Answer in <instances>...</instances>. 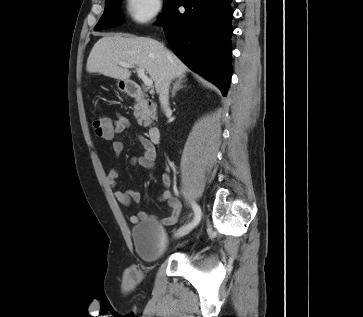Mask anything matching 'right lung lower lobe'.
<instances>
[{
    "label": "right lung lower lobe",
    "mask_w": 363,
    "mask_h": 317,
    "mask_svg": "<svg viewBox=\"0 0 363 317\" xmlns=\"http://www.w3.org/2000/svg\"><path fill=\"white\" fill-rule=\"evenodd\" d=\"M231 0H172L157 23L175 54L225 96L231 78ZM185 7L180 13L178 7Z\"/></svg>",
    "instance_id": "right-lung-lower-lobe-1"
}]
</instances>
